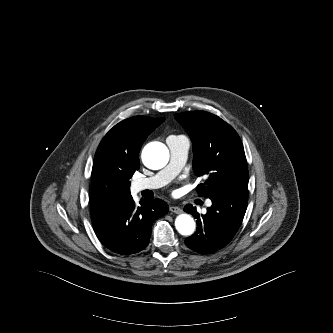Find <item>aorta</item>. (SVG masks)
I'll return each mask as SVG.
<instances>
[{"label": "aorta", "mask_w": 333, "mask_h": 333, "mask_svg": "<svg viewBox=\"0 0 333 333\" xmlns=\"http://www.w3.org/2000/svg\"><path fill=\"white\" fill-rule=\"evenodd\" d=\"M142 161L149 169H161L169 161V151L167 147L160 142L149 143L142 151ZM175 227L181 235L189 236L194 233L196 224L190 215L180 214L175 220Z\"/></svg>", "instance_id": "762f6f07"}]
</instances>
